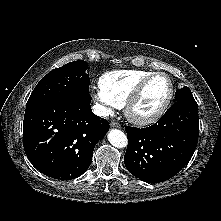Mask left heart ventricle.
Listing matches in <instances>:
<instances>
[{"label": "left heart ventricle", "instance_id": "b2bd125f", "mask_svg": "<svg viewBox=\"0 0 221 221\" xmlns=\"http://www.w3.org/2000/svg\"><path fill=\"white\" fill-rule=\"evenodd\" d=\"M169 93V82L164 76L153 78L146 86L140 100L134 106L137 116H147L157 111Z\"/></svg>", "mask_w": 221, "mask_h": 221}]
</instances>
